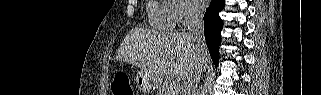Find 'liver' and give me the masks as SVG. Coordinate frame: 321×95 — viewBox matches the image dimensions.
I'll return each mask as SVG.
<instances>
[{
    "label": "liver",
    "mask_w": 321,
    "mask_h": 95,
    "mask_svg": "<svg viewBox=\"0 0 321 95\" xmlns=\"http://www.w3.org/2000/svg\"><path fill=\"white\" fill-rule=\"evenodd\" d=\"M116 58L133 64L155 80L166 74L187 80L200 63L189 33L163 34L144 28L132 29L127 34ZM208 62L209 54L205 48V66Z\"/></svg>",
    "instance_id": "liver-1"
}]
</instances>
